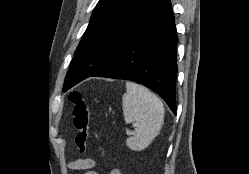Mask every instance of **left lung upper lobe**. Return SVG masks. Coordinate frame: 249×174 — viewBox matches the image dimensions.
Listing matches in <instances>:
<instances>
[{
    "mask_svg": "<svg viewBox=\"0 0 249 174\" xmlns=\"http://www.w3.org/2000/svg\"><path fill=\"white\" fill-rule=\"evenodd\" d=\"M167 0H100L70 63L63 91L102 69Z\"/></svg>",
    "mask_w": 249,
    "mask_h": 174,
    "instance_id": "left-lung-upper-lobe-1",
    "label": "left lung upper lobe"
}]
</instances>
